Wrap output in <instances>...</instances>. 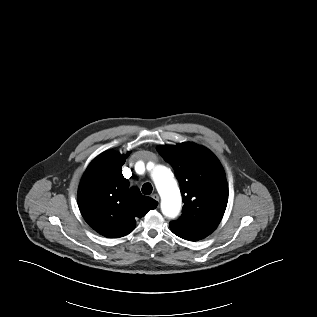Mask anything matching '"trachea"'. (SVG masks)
I'll use <instances>...</instances> for the list:
<instances>
[{
  "label": "trachea",
  "instance_id": "obj_1",
  "mask_svg": "<svg viewBox=\"0 0 317 317\" xmlns=\"http://www.w3.org/2000/svg\"><path fill=\"white\" fill-rule=\"evenodd\" d=\"M152 190H153V187H152V185L150 183H145L142 186V193L145 194V195L151 194Z\"/></svg>",
  "mask_w": 317,
  "mask_h": 317
}]
</instances>
